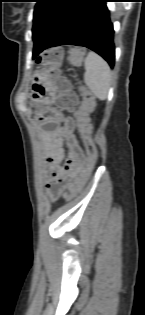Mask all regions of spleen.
Here are the masks:
<instances>
[{"instance_id":"spleen-1","label":"spleen","mask_w":145,"mask_h":315,"mask_svg":"<svg viewBox=\"0 0 145 315\" xmlns=\"http://www.w3.org/2000/svg\"><path fill=\"white\" fill-rule=\"evenodd\" d=\"M84 81L100 100L107 99L111 83V70L107 62L95 52H89L84 60Z\"/></svg>"}]
</instances>
